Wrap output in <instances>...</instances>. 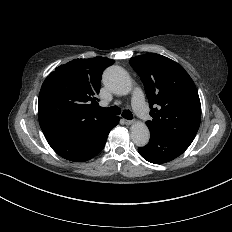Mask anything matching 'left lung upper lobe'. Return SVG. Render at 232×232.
<instances>
[{
    "instance_id": "1",
    "label": "left lung upper lobe",
    "mask_w": 232,
    "mask_h": 232,
    "mask_svg": "<svg viewBox=\"0 0 232 232\" xmlns=\"http://www.w3.org/2000/svg\"><path fill=\"white\" fill-rule=\"evenodd\" d=\"M140 76L151 108L150 132L189 147L199 129L201 104L196 86L177 62L148 53L130 59Z\"/></svg>"
}]
</instances>
